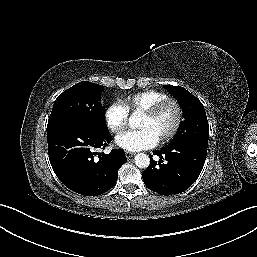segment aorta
Wrapping results in <instances>:
<instances>
[{"mask_svg":"<svg viewBox=\"0 0 257 257\" xmlns=\"http://www.w3.org/2000/svg\"><path fill=\"white\" fill-rule=\"evenodd\" d=\"M136 122H137V116H131L129 119V124L132 127L136 126ZM135 164L137 167L139 168H147L150 164V158L148 155L144 154V153H139L135 156Z\"/></svg>","mask_w":257,"mask_h":257,"instance_id":"obj_1","label":"aorta"}]
</instances>
